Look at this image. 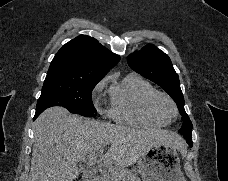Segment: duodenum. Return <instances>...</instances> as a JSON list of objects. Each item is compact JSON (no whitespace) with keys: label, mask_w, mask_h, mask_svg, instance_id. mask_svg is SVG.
I'll return each instance as SVG.
<instances>
[{"label":"duodenum","mask_w":228,"mask_h":181,"mask_svg":"<svg viewBox=\"0 0 228 181\" xmlns=\"http://www.w3.org/2000/svg\"><path fill=\"white\" fill-rule=\"evenodd\" d=\"M81 179H85L84 181H97L94 177L93 172H88L87 174H81Z\"/></svg>","instance_id":"obj_1"}]
</instances>
